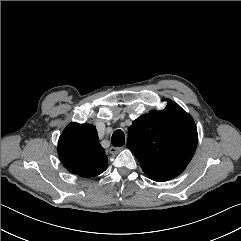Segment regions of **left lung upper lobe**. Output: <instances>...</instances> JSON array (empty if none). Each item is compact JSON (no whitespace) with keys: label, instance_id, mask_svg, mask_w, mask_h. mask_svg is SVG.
Listing matches in <instances>:
<instances>
[{"label":"left lung upper lobe","instance_id":"obj_1","mask_svg":"<svg viewBox=\"0 0 241 241\" xmlns=\"http://www.w3.org/2000/svg\"><path fill=\"white\" fill-rule=\"evenodd\" d=\"M167 102L165 109L140 116L128 128L127 148L144 173L158 182L181 174L198 142L193 118L172 100Z\"/></svg>","mask_w":241,"mask_h":241}]
</instances>
